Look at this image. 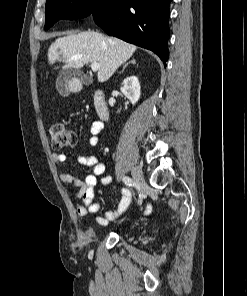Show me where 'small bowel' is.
<instances>
[{
    "instance_id": "small-bowel-1",
    "label": "small bowel",
    "mask_w": 247,
    "mask_h": 296,
    "mask_svg": "<svg viewBox=\"0 0 247 296\" xmlns=\"http://www.w3.org/2000/svg\"><path fill=\"white\" fill-rule=\"evenodd\" d=\"M103 123L101 121H93L89 128V144L97 147L100 143L99 134L102 132ZM57 165L61 181L65 185H72L75 189V197L82 200V203L76 204V212L80 216H87L96 213L100 209L99 203H94L95 187L100 177V184L108 186L112 182L110 175H104L105 166L97 156L77 157V161L84 166L92 168V173L86 175L84 179H79L69 173L65 166L67 156L64 154L54 153L52 155ZM133 203V195L130 189L124 188L121 192V198L115 211H107L103 216L95 217V222L99 225H106L109 221L121 216Z\"/></svg>"
}]
</instances>
